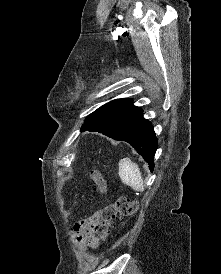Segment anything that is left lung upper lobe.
<instances>
[{
  "instance_id": "5c2ea615",
  "label": "left lung upper lobe",
  "mask_w": 221,
  "mask_h": 274,
  "mask_svg": "<svg viewBox=\"0 0 221 274\" xmlns=\"http://www.w3.org/2000/svg\"><path fill=\"white\" fill-rule=\"evenodd\" d=\"M119 100H122V99L113 100V101H110L109 103L115 102V101H119ZM93 116H94L93 113H91L89 116H87V118H86V120H85V122H84V124L82 126L81 131H83L85 128L89 127L92 124V122L94 120Z\"/></svg>"
}]
</instances>
